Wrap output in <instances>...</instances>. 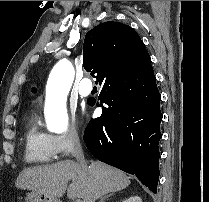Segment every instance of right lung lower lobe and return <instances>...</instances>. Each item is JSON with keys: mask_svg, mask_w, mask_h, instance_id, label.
Masks as SVG:
<instances>
[{"mask_svg": "<svg viewBox=\"0 0 209 202\" xmlns=\"http://www.w3.org/2000/svg\"><path fill=\"white\" fill-rule=\"evenodd\" d=\"M160 99L150 65L138 80L120 88H102L96 104L102 115L91 119L84 132L94 157L136 175L153 193L159 180ZM95 102L88 99L91 106Z\"/></svg>", "mask_w": 209, "mask_h": 202, "instance_id": "1", "label": "right lung lower lobe"}]
</instances>
